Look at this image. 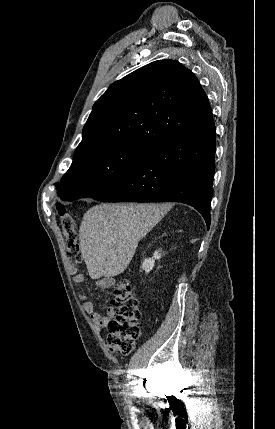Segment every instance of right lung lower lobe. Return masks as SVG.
I'll use <instances>...</instances> for the list:
<instances>
[{
  "instance_id": "1",
  "label": "right lung lower lobe",
  "mask_w": 275,
  "mask_h": 429,
  "mask_svg": "<svg viewBox=\"0 0 275 429\" xmlns=\"http://www.w3.org/2000/svg\"><path fill=\"white\" fill-rule=\"evenodd\" d=\"M215 136L214 124L175 136L153 149L136 169L91 198L189 204L200 211L209 228Z\"/></svg>"
}]
</instances>
